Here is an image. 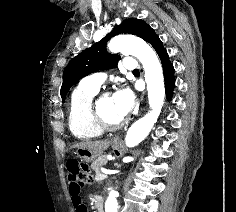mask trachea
<instances>
[{"label":"trachea","instance_id":"obj_1","mask_svg":"<svg viewBox=\"0 0 236 212\" xmlns=\"http://www.w3.org/2000/svg\"><path fill=\"white\" fill-rule=\"evenodd\" d=\"M133 73H139V70H138V69H136V70H134V71H133Z\"/></svg>","mask_w":236,"mask_h":212}]
</instances>
